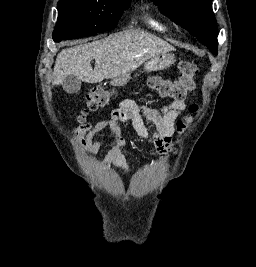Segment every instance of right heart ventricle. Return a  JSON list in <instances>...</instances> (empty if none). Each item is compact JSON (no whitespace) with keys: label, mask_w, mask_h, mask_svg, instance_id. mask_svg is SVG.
Segmentation results:
<instances>
[{"label":"right heart ventricle","mask_w":256,"mask_h":267,"mask_svg":"<svg viewBox=\"0 0 256 267\" xmlns=\"http://www.w3.org/2000/svg\"><path fill=\"white\" fill-rule=\"evenodd\" d=\"M152 26L154 27L155 30L161 33L167 32L169 30V27L164 26V25H158V24L152 23Z\"/></svg>","instance_id":"obj_1"}]
</instances>
